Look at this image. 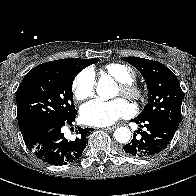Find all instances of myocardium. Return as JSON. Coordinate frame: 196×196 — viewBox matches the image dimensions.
Segmentation results:
<instances>
[{
	"mask_svg": "<svg viewBox=\"0 0 196 196\" xmlns=\"http://www.w3.org/2000/svg\"><path fill=\"white\" fill-rule=\"evenodd\" d=\"M121 95L131 100H141L144 96L143 89L134 82L120 83Z\"/></svg>",
	"mask_w": 196,
	"mask_h": 196,
	"instance_id": "f54148a6",
	"label": "myocardium"
}]
</instances>
